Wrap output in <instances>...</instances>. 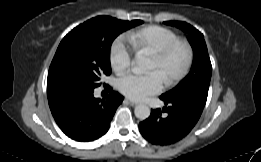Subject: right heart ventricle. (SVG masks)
Here are the masks:
<instances>
[{"label": "right heart ventricle", "instance_id": "e07e8e85", "mask_svg": "<svg viewBox=\"0 0 261 162\" xmlns=\"http://www.w3.org/2000/svg\"><path fill=\"white\" fill-rule=\"evenodd\" d=\"M126 38L135 52H155L170 43L179 40V36L171 29L149 25L132 30Z\"/></svg>", "mask_w": 261, "mask_h": 162}]
</instances>
